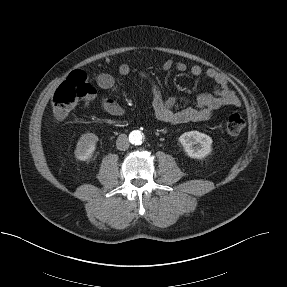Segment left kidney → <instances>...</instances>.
Listing matches in <instances>:
<instances>
[{
  "mask_svg": "<svg viewBox=\"0 0 287 287\" xmlns=\"http://www.w3.org/2000/svg\"><path fill=\"white\" fill-rule=\"evenodd\" d=\"M186 154L194 159H202L212 151V138L199 131L185 132L179 137Z\"/></svg>",
  "mask_w": 287,
  "mask_h": 287,
  "instance_id": "1",
  "label": "left kidney"
}]
</instances>
